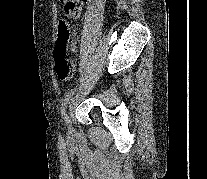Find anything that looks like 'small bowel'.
I'll list each match as a JSON object with an SVG mask.
<instances>
[{
    "mask_svg": "<svg viewBox=\"0 0 207 179\" xmlns=\"http://www.w3.org/2000/svg\"><path fill=\"white\" fill-rule=\"evenodd\" d=\"M77 2H78V4H77V10L75 12H73V13L67 14L71 18H77L79 16V14H80V9L83 6V1L78 0ZM75 47L76 46L73 45V48H75Z\"/></svg>",
    "mask_w": 207,
    "mask_h": 179,
    "instance_id": "obj_1",
    "label": "small bowel"
}]
</instances>
